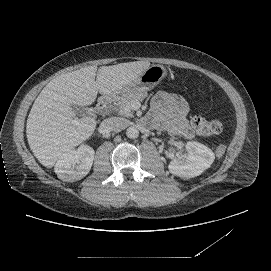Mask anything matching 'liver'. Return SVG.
<instances>
[{
    "mask_svg": "<svg viewBox=\"0 0 271 271\" xmlns=\"http://www.w3.org/2000/svg\"><path fill=\"white\" fill-rule=\"evenodd\" d=\"M149 66L147 61H134L102 66L97 71L93 65L51 79L35 99L26 121L27 141L38 161L45 167L53 166L66 150L94 132L95 119H78L71 104L86 106L94 102L98 92H120Z\"/></svg>",
    "mask_w": 271,
    "mask_h": 271,
    "instance_id": "6515ba94",
    "label": "liver"
}]
</instances>
